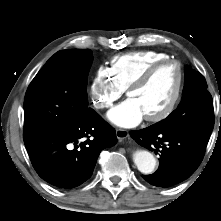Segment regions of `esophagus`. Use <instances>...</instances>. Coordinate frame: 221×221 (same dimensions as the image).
<instances>
[{
	"instance_id": "obj_1",
	"label": "esophagus",
	"mask_w": 221,
	"mask_h": 221,
	"mask_svg": "<svg viewBox=\"0 0 221 221\" xmlns=\"http://www.w3.org/2000/svg\"><path fill=\"white\" fill-rule=\"evenodd\" d=\"M128 136H129L128 130H125V129L116 130V137L118 138V140L122 141L126 139Z\"/></svg>"
}]
</instances>
